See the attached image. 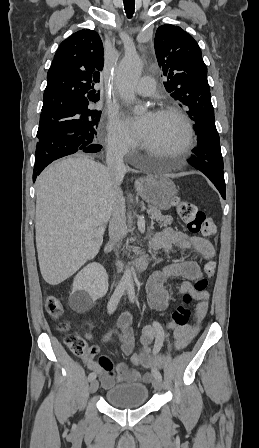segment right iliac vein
<instances>
[{
    "label": "right iliac vein",
    "instance_id": "right-iliac-vein-1",
    "mask_svg": "<svg viewBox=\"0 0 259 448\" xmlns=\"http://www.w3.org/2000/svg\"><path fill=\"white\" fill-rule=\"evenodd\" d=\"M98 387H99L98 381L97 380H93L90 383V387H89L90 393H95L98 390Z\"/></svg>",
    "mask_w": 259,
    "mask_h": 448
}]
</instances>
